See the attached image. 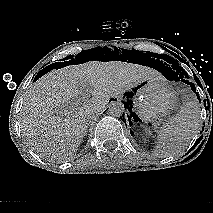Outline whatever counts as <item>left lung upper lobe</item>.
I'll list each match as a JSON object with an SVG mask.
<instances>
[{"instance_id": "1", "label": "left lung upper lobe", "mask_w": 213, "mask_h": 213, "mask_svg": "<svg viewBox=\"0 0 213 213\" xmlns=\"http://www.w3.org/2000/svg\"><path fill=\"white\" fill-rule=\"evenodd\" d=\"M167 62L172 64V68L176 71L177 76L179 75L181 79L184 76H187V73H185V70H183L182 67L179 66V63L176 60H174L173 58H169Z\"/></svg>"}]
</instances>
